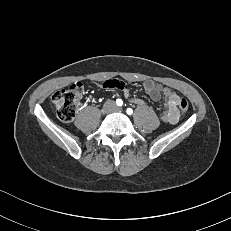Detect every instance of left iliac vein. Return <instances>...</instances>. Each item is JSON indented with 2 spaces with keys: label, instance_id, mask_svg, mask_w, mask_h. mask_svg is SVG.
Listing matches in <instances>:
<instances>
[{
  "label": "left iliac vein",
  "instance_id": "left-iliac-vein-1",
  "mask_svg": "<svg viewBox=\"0 0 231 231\" xmlns=\"http://www.w3.org/2000/svg\"><path fill=\"white\" fill-rule=\"evenodd\" d=\"M114 110H115L116 112H122V111H123V109H122L121 107H116Z\"/></svg>",
  "mask_w": 231,
  "mask_h": 231
}]
</instances>
